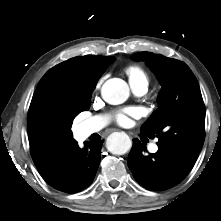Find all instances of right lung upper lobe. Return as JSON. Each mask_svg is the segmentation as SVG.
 <instances>
[{
	"mask_svg": "<svg viewBox=\"0 0 221 221\" xmlns=\"http://www.w3.org/2000/svg\"><path fill=\"white\" fill-rule=\"evenodd\" d=\"M114 57L79 56L51 68L33 95L27 128L30 151L36 167L48 162L72 142L71 106L82 104L92 94L98 79Z\"/></svg>",
	"mask_w": 221,
	"mask_h": 221,
	"instance_id": "1",
	"label": "right lung upper lobe"
}]
</instances>
